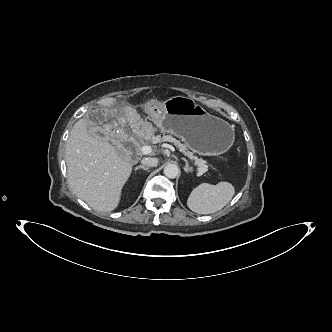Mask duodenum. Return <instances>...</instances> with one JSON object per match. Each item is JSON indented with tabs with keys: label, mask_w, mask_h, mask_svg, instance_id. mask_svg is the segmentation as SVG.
Returning a JSON list of instances; mask_svg holds the SVG:
<instances>
[{
	"label": "duodenum",
	"mask_w": 332,
	"mask_h": 332,
	"mask_svg": "<svg viewBox=\"0 0 332 332\" xmlns=\"http://www.w3.org/2000/svg\"><path fill=\"white\" fill-rule=\"evenodd\" d=\"M132 155L135 156V152L134 151H132Z\"/></svg>",
	"instance_id": "410a0bca"
}]
</instances>
